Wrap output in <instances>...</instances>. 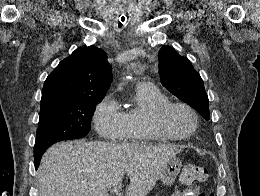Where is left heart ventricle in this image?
Listing matches in <instances>:
<instances>
[{"mask_svg": "<svg viewBox=\"0 0 260 196\" xmlns=\"http://www.w3.org/2000/svg\"><path fill=\"white\" fill-rule=\"evenodd\" d=\"M154 113L151 112L150 117ZM163 126L175 135H182L190 131L194 126L192 116L183 109L172 108L170 109L162 120Z\"/></svg>", "mask_w": 260, "mask_h": 196, "instance_id": "b2bd125f", "label": "left heart ventricle"}]
</instances>
